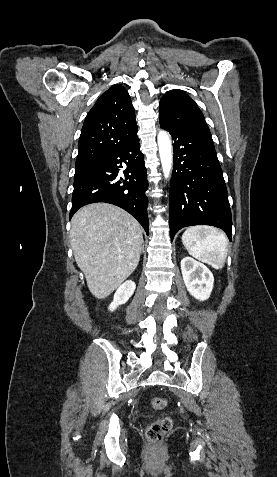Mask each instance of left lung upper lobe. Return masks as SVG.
I'll return each mask as SVG.
<instances>
[{
	"instance_id": "left-lung-upper-lobe-1",
	"label": "left lung upper lobe",
	"mask_w": 277,
	"mask_h": 477,
	"mask_svg": "<svg viewBox=\"0 0 277 477\" xmlns=\"http://www.w3.org/2000/svg\"><path fill=\"white\" fill-rule=\"evenodd\" d=\"M159 121L170 128H195L209 131L197 104L182 90L168 91L160 101Z\"/></svg>"
}]
</instances>
